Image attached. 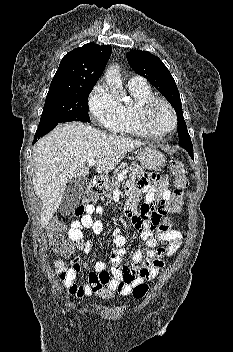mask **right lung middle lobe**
<instances>
[{"label":"right lung middle lobe","instance_id":"dd1d6c3e","mask_svg":"<svg viewBox=\"0 0 233 352\" xmlns=\"http://www.w3.org/2000/svg\"><path fill=\"white\" fill-rule=\"evenodd\" d=\"M93 87L94 85L75 89H49L37 132L63 122L89 123L87 101Z\"/></svg>","mask_w":233,"mask_h":352}]
</instances>
